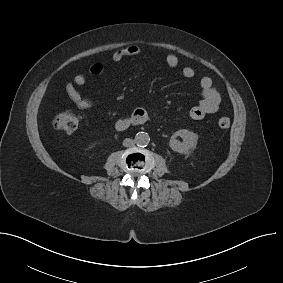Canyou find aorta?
<instances>
[{"instance_id": "aorta-1", "label": "aorta", "mask_w": 283, "mask_h": 283, "mask_svg": "<svg viewBox=\"0 0 283 283\" xmlns=\"http://www.w3.org/2000/svg\"><path fill=\"white\" fill-rule=\"evenodd\" d=\"M134 141L138 146H146L150 141V137L145 132H139L136 134Z\"/></svg>"}]
</instances>
